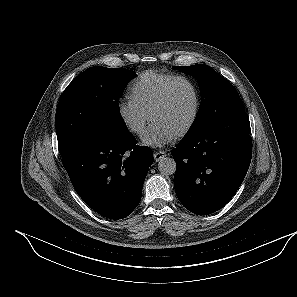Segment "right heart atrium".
I'll list each match as a JSON object with an SVG mask.
<instances>
[{"label": "right heart atrium", "instance_id": "d8ad5b80", "mask_svg": "<svg viewBox=\"0 0 297 297\" xmlns=\"http://www.w3.org/2000/svg\"><path fill=\"white\" fill-rule=\"evenodd\" d=\"M117 114L124 127L134 135L144 132L148 114L132 97L121 98L117 103Z\"/></svg>", "mask_w": 297, "mask_h": 297}]
</instances>
